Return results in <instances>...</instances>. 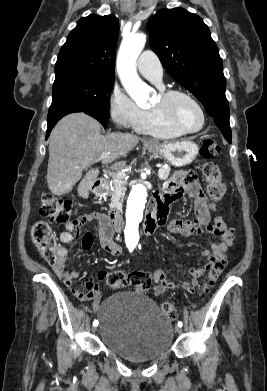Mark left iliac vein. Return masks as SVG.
<instances>
[{"mask_svg": "<svg viewBox=\"0 0 267 391\" xmlns=\"http://www.w3.org/2000/svg\"><path fill=\"white\" fill-rule=\"evenodd\" d=\"M175 330H176L177 333H181V332H182V328L179 327V326H177V327L175 328Z\"/></svg>", "mask_w": 267, "mask_h": 391, "instance_id": "left-iliac-vein-1", "label": "left iliac vein"}]
</instances>
